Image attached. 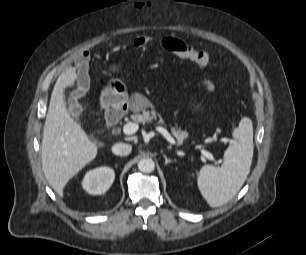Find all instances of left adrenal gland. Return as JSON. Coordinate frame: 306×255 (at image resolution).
Listing matches in <instances>:
<instances>
[{"mask_svg":"<svg viewBox=\"0 0 306 255\" xmlns=\"http://www.w3.org/2000/svg\"><path fill=\"white\" fill-rule=\"evenodd\" d=\"M163 157L165 159V165H167L169 163L176 162V159H169V158H167V156L164 153H163Z\"/></svg>","mask_w":306,"mask_h":255,"instance_id":"left-adrenal-gland-1","label":"left adrenal gland"}]
</instances>
